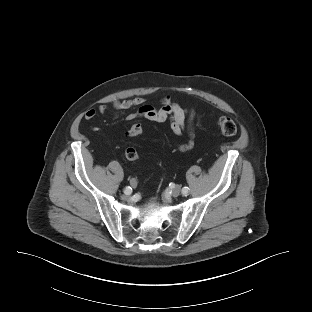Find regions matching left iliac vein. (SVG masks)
<instances>
[{
  "label": "left iliac vein",
  "instance_id": "4c4485c4",
  "mask_svg": "<svg viewBox=\"0 0 312 312\" xmlns=\"http://www.w3.org/2000/svg\"><path fill=\"white\" fill-rule=\"evenodd\" d=\"M180 192H181V189L179 186H175L172 191H171V194L173 197H177L180 195Z\"/></svg>",
  "mask_w": 312,
  "mask_h": 312
}]
</instances>
